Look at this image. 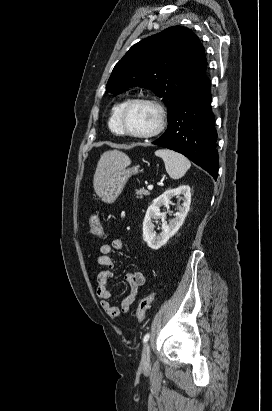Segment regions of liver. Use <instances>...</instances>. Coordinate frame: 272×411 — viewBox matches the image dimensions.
<instances>
[{"label": "liver", "instance_id": "6515ba94", "mask_svg": "<svg viewBox=\"0 0 272 411\" xmlns=\"http://www.w3.org/2000/svg\"><path fill=\"white\" fill-rule=\"evenodd\" d=\"M130 163L129 157L118 150H109L104 152L97 164L94 174L93 186L98 195H101L103 187L108 178L117 170Z\"/></svg>", "mask_w": 272, "mask_h": 411}]
</instances>
